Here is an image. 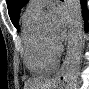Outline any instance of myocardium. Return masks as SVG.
<instances>
[{"label":"myocardium","instance_id":"1","mask_svg":"<svg viewBox=\"0 0 89 89\" xmlns=\"http://www.w3.org/2000/svg\"><path fill=\"white\" fill-rule=\"evenodd\" d=\"M40 39L46 54L50 57H53L57 60L60 52H61V45L59 43L54 42L53 40L47 38L40 29Z\"/></svg>","mask_w":89,"mask_h":89}]
</instances>
